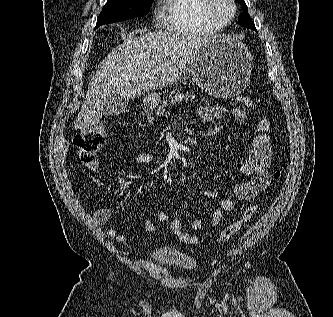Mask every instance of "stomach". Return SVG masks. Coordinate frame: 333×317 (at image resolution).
I'll use <instances>...</instances> for the list:
<instances>
[{"label":"stomach","mask_w":333,"mask_h":317,"mask_svg":"<svg viewBox=\"0 0 333 317\" xmlns=\"http://www.w3.org/2000/svg\"><path fill=\"white\" fill-rule=\"evenodd\" d=\"M253 56L248 47L230 36H215L206 41L189 63L192 80L209 95L226 99L241 94L250 82ZM157 93L148 94L150 108L160 102Z\"/></svg>","instance_id":"obj_1"}]
</instances>
